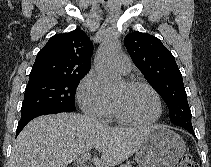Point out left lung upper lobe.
Segmentation results:
<instances>
[{
  "label": "left lung upper lobe",
  "instance_id": "1",
  "mask_svg": "<svg viewBox=\"0 0 211 167\" xmlns=\"http://www.w3.org/2000/svg\"><path fill=\"white\" fill-rule=\"evenodd\" d=\"M124 43L134 64L166 102L171 122L192 127L182 74L171 52L155 36L138 31L128 34Z\"/></svg>",
  "mask_w": 211,
  "mask_h": 167
}]
</instances>
